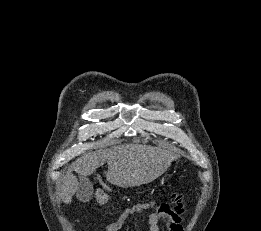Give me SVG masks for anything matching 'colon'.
I'll use <instances>...</instances> for the list:
<instances>
[{"instance_id":"colon-1","label":"colon","mask_w":261,"mask_h":231,"mask_svg":"<svg viewBox=\"0 0 261 231\" xmlns=\"http://www.w3.org/2000/svg\"><path fill=\"white\" fill-rule=\"evenodd\" d=\"M100 196L104 201H107L110 197V191L108 188H103L100 192ZM172 212H174L178 216H182L184 214V208L180 203V198L178 196L173 197V202L169 206Z\"/></svg>"}]
</instances>
